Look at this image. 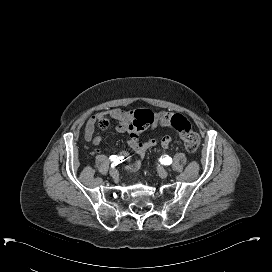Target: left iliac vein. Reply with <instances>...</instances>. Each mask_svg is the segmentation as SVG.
<instances>
[{
	"instance_id": "1",
	"label": "left iliac vein",
	"mask_w": 272,
	"mask_h": 272,
	"mask_svg": "<svg viewBox=\"0 0 272 272\" xmlns=\"http://www.w3.org/2000/svg\"><path fill=\"white\" fill-rule=\"evenodd\" d=\"M158 174L161 178H166L168 176V172L163 168L159 169Z\"/></svg>"
}]
</instances>
